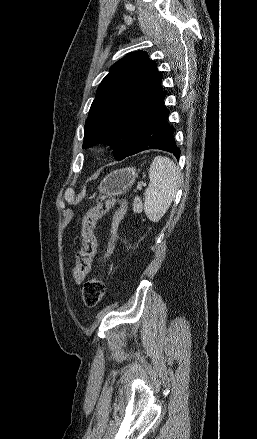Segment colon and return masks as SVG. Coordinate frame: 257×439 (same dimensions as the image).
<instances>
[{
    "label": "colon",
    "instance_id": "colon-1",
    "mask_svg": "<svg viewBox=\"0 0 257 439\" xmlns=\"http://www.w3.org/2000/svg\"><path fill=\"white\" fill-rule=\"evenodd\" d=\"M111 208H115L111 226V238L104 255L98 261L99 273L86 281L82 289L83 302L89 308L97 306L105 293L103 266L114 251L120 225L127 213V202L119 197L100 196L95 205L87 210L82 220V245L77 252L76 264L73 270V277L76 283H81L85 279L96 253L95 225Z\"/></svg>",
    "mask_w": 257,
    "mask_h": 439
}]
</instances>
